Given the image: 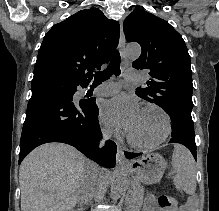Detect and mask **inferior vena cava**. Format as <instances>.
<instances>
[{"label": "inferior vena cava", "instance_id": "obj_1", "mask_svg": "<svg viewBox=\"0 0 219 211\" xmlns=\"http://www.w3.org/2000/svg\"><path fill=\"white\" fill-rule=\"evenodd\" d=\"M111 133L109 131H105L104 137H110ZM105 139H102L100 141V147L104 145ZM94 165L92 167V170H90V174L85 175V181L84 183H81V188H78V193L80 199L84 202H91L92 198H94V193L96 192L95 188H99V182H100V175H103V170H101V167L103 165L102 161H95Z\"/></svg>", "mask_w": 219, "mask_h": 211}]
</instances>
